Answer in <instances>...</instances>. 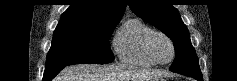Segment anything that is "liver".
Wrapping results in <instances>:
<instances>
[{
    "mask_svg": "<svg viewBox=\"0 0 237 81\" xmlns=\"http://www.w3.org/2000/svg\"><path fill=\"white\" fill-rule=\"evenodd\" d=\"M164 76L158 70H124L116 66L79 64L68 66L56 81H152Z\"/></svg>",
    "mask_w": 237,
    "mask_h": 81,
    "instance_id": "6515ba94",
    "label": "liver"
}]
</instances>
